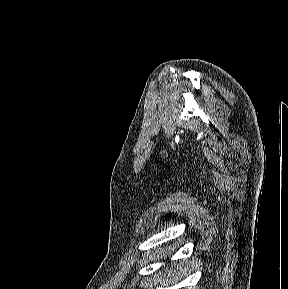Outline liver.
Wrapping results in <instances>:
<instances>
[{
    "label": "liver",
    "mask_w": 288,
    "mask_h": 289,
    "mask_svg": "<svg viewBox=\"0 0 288 289\" xmlns=\"http://www.w3.org/2000/svg\"><path fill=\"white\" fill-rule=\"evenodd\" d=\"M164 271L167 277H172V280L175 278L177 279V277L182 278L184 274L181 263L179 265L177 263H173L169 269L166 268Z\"/></svg>",
    "instance_id": "liver-1"
}]
</instances>
